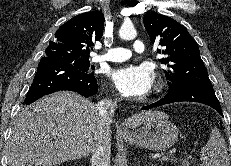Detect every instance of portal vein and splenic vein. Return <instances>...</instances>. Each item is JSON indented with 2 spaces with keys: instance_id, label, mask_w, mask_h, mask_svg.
<instances>
[{
  "instance_id": "1",
  "label": "portal vein and splenic vein",
  "mask_w": 231,
  "mask_h": 166,
  "mask_svg": "<svg viewBox=\"0 0 231 166\" xmlns=\"http://www.w3.org/2000/svg\"><path fill=\"white\" fill-rule=\"evenodd\" d=\"M172 155H174V151L171 150L169 152L163 153L162 155H158V156H155L153 158H159L162 156V159H164V158H168L169 156H172ZM182 163L184 166H189V163L187 160H183Z\"/></svg>"
}]
</instances>
